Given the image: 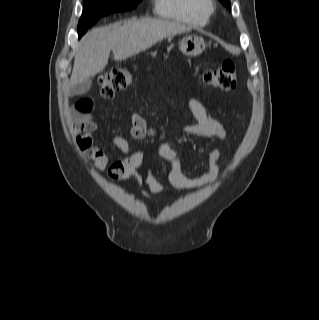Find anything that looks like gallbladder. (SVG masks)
<instances>
[{
    "label": "gallbladder",
    "instance_id": "bac80fb5",
    "mask_svg": "<svg viewBox=\"0 0 319 320\" xmlns=\"http://www.w3.org/2000/svg\"><path fill=\"white\" fill-rule=\"evenodd\" d=\"M91 87V80L87 79L81 83H78L70 88L69 95H80L86 93Z\"/></svg>",
    "mask_w": 319,
    "mask_h": 320
}]
</instances>
